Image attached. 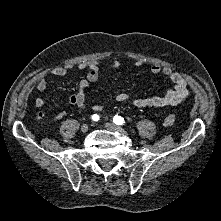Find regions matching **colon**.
<instances>
[{
  "label": "colon",
  "instance_id": "1",
  "mask_svg": "<svg viewBox=\"0 0 221 221\" xmlns=\"http://www.w3.org/2000/svg\"><path fill=\"white\" fill-rule=\"evenodd\" d=\"M164 124L167 127H173L176 124V117L174 114L169 113L164 118Z\"/></svg>",
  "mask_w": 221,
  "mask_h": 221
}]
</instances>
